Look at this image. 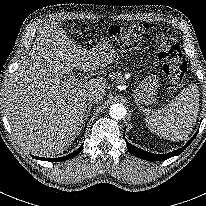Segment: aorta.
I'll return each mask as SVG.
<instances>
[{
	"mask_svg": "<svg viewBox=\"0 0 206 206\" xmlns=\"http://www.w3.org/2000/svg\"><path fill=\"white\" fill-rule=\"evenodd\" d=\"M109 114L113 119H123L126 115V108L120 103L113 104L110 107Z\"/></svg>",
	"mask_w": 206,
	"mask_h": 206,
	"instance_id": "1",
	"label": "aorta"
}]
</instances>
